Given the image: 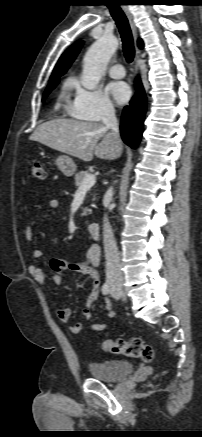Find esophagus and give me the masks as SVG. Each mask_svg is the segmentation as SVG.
Instances as JSON below:
<instances>
[{"label": "esophagus", "mask_w": 202, "mask_h": 437, "mask_svg": "<svg viewBox=\"0 0 202 437\" xmlns=\"http://www.w3.org/2000/svg\"><path fill=\"white\" fill-rule=\"evenodd\" d=\"M122 9H123V11H124V13H125V15H126L128 21H129V24H130V27H131V30H132L133 36H134V38L136 39V38H137V28H136V25H135V22H134V19H133V15H132L131 11L129 10V8H128L127 6H123ZM139 53H140V52H139V50L137 49V54H136V64H135V72H136V73L138 72L137 59H138V57H139Z\"/></svg>", "instance_id": "obj_1"}]
</instances>
